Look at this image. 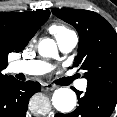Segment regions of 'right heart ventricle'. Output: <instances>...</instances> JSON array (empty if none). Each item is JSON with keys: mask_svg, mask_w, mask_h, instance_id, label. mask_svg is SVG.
Returning a JSON list of instances; mask_svg holds the SVG:
<instances>
[{"mask_svg": "<svg viewBox=\"0 0 117 117\" xmlns=\"http://www.w3.org/2000/svg\"><path fill=\"white\" fill-rule=\"evenodd\" d=\"M49 31L54 34L56 38L70 32L71 30L67 27L60 25V24H53L49 27Z\"/></svg>", "mask_w": 117, "mask_h": 117, "instance_id": "1", "label": "right heart ventricle"}]
</instances>
